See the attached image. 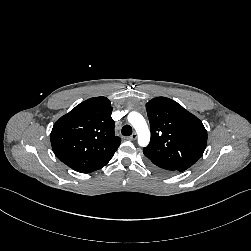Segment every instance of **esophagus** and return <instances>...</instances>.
I'll return each instance as SVG.
<instances>
[{
  "mask_svg": "<svg viewBox=\"0 0 251 251\" xmlns=\"http://www.w3.org/2000/svg\"><path fill=\"white\" fill-rule=\"evenodd\" d=\"M137 138V134L136 133H133L131 136H129V140H136Z\"/></svg>",
  "mask_w": 251,
  "mask_h": 251,
  "instance_id": "obj_1",
  "label": "esophagus"
}]
</instances>
